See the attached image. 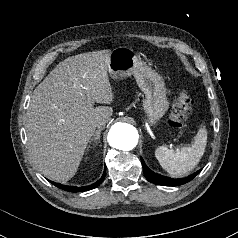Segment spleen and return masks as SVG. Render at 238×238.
Returning <instances> with one entry per match:
<instances>
[{"instance_id":"1","label":"spleen","mask_w":238,"mask_h":238,"mask_svg":"<svg viewBox=\"0 0 238 238\" xmlns=\"http://www.w3.org/2000/svg\"><path fill=\"white\" fill-rule=\"evenodd\" d=\"M207 143V130L201 126L191 147H182L174 151L165 146L155 150V157L161 167L173 177L188 175L200 162Z\"/></svg>"}]
</instances>
